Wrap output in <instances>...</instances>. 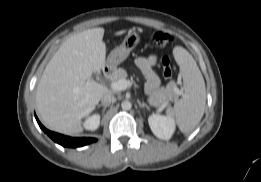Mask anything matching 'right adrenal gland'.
I'll return each instance as SVG.
<instances>
[{"mask_svg":"<svg viewBox=\"0 0 261 182\" xmlns=\"http://www.w3.org/2000/svg\"><path fill=\"white\" fill-rule=\"evenodd\" d=\"M108 106H109V105L102 103V104H99L97 107H98V108H99V107H103V110H102V114H103Z\"/></svg>","mask_w":261,"mask_h":182,"instance_id":"right-adrenal-gland-1","label":"right adrenal gland"}]
</instances>
